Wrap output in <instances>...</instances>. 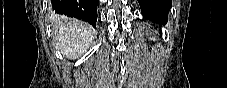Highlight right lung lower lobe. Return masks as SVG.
<instances>
[{
  "label": "right lung lower lobe",
  "instance_id": "right-lung-lower-lobe-1",
  "mask_svg": "<svg viewBox=\"0 0 227 88\" xmlns=\"http://www.w3.org/2000/svg\"><path fill=\"white\" fill-rule=\"evenodd\" d=\"M98 0H52L55 13L75 17L96 28Z\"/></svg>",
  "mask_w": 227,
  "mask_h": 88
}]
</instances>
